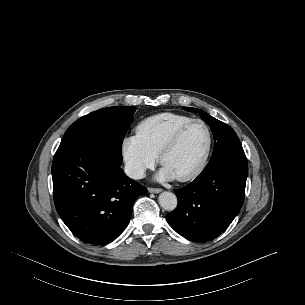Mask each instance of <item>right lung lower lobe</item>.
Instances as JSON below:
<instances>
[{
	"mask_svg": "<svg viewBox=\"0 0 305 305\" xmlns=\"http://www.w3.org/2000/svg\"><path fill=\"white\" fill-rule=\"evenodd\" d=\"M104 147L89 145L56 153L52 163L56 210L84 243L105 245L129 223L133 203L147 193L127 177Z\"/></svg>",
	"mask_w": 305,
	"mask_h": 305,
	"instance_id": "98d812e1",
	"label": "right lung lower lobe"
}]
</instances>
